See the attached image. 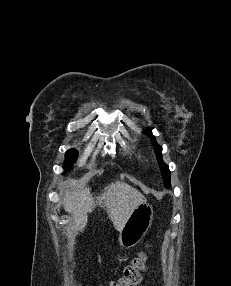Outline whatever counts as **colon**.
Instances as JSON below:
<instances>
[{"label":"colon","instance_id":"1","mask_svg":"<svg viewBox=\"0 0 231 286\" xmlns=\"http://www.w3.org/2000/svg\"><path fill=\"white\" fill-rule=\"evenodd\" d=\"M148 256L145 252H140L132 262L127 265L122 275L111 281L107 286H135L141 281L142 273L146 270Z\"/></svg>","mask_w":231,"mask_h":286}]
</instances>
